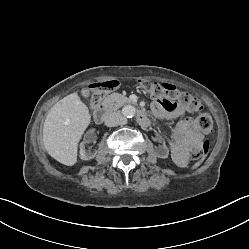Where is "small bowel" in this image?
Masks as SVG:
<instances>
[{
  "mask_svg": "<svg viewBox=\"0 0 249 249\" xmlns=\"http://www.w3.org/2000/svg\"><path fill=\"white\" fill-rule=\"evenodd\" d=\"M152 112L158 118H173L177 120L171 137V151L176 164L185 167L188 163L187 152L192 146L202 145L203 135L193 119L185 115L177 103L166 105L160 100H155Z\"/></svg>",
  "mask_w": 249,
  "mask_h": 249,
  "instance_id": "1",
  "label": "small bowel"
}]
</instances>
